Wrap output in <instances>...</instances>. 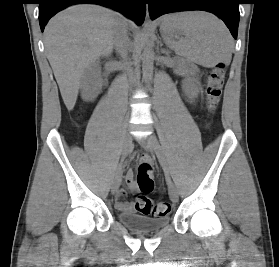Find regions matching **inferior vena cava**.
Masks as SVG:
<instances>
[{
    "label": "inferior vena cava",
    "mask_w": 279,
    "mask_h": 267,
    "mask_svg": "<svg viewBox=\"0 0 279 267\" xmlns=\"http://www.w3.org/2000/svg\"><path fill=\"white\" fill-rule=\"evenodd\" d=\"M114 46L118 54L122 57L123 62L126 64V70L129 76H133V71L130 65L127 63L128 51H129V38L127 24L122 21L115 29L114 32ZM133 81V80H132Z\"/></svg>",
    "instance_id": "602c4592"
}]
</instances>
